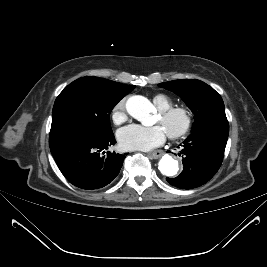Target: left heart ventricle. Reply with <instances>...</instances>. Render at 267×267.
Segmentation results:
<instances>
[{
	"instance_id": "left-heart-ventricle-1",
	"label": "left heart ventricle",
	"mask_w": 267,
	"mask_h": 267,
	"mask_svg": "<svg viewBox=\"0 0 267 267\" xmlns=\"http://www.w3.org/2000/svg\"><path fill=\"white\" fill-rule=\"evenodd\" d=\"M157 123H159L166 132L178 130L182 125V120L178 117L171 119L168 122L162 121L161 117L159 116Z\"/></svg>"
}]
</instances>
